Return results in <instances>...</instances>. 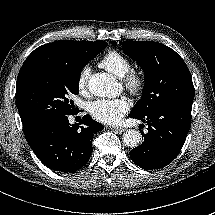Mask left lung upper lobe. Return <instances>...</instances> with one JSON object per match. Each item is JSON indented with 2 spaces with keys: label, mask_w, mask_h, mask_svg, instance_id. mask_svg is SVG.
<instances>
[{
  "label": "left lung upper lobe",
  "mask_w": 215,
  "mask_h": 215,
  "mask_svg": "<svg viewBox=\"0 0 215 215\" xmlns=\"http://www.w3.org/2000/svg\"><path fill=\"white\" fill-rule=\"evenodd\" d=\"M111 43L117 46L115 41ZM120 44L123 52L136 60L145 74L142 97L130 117H145L160 107L193 101L191 74L173 49L153 41H124Z\"/></svg>",
  "instance_id": "left-lung-upper-lobe-1"
}]
</instances>
